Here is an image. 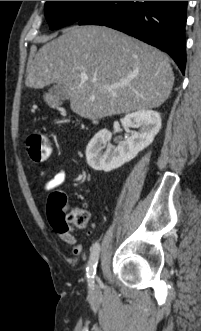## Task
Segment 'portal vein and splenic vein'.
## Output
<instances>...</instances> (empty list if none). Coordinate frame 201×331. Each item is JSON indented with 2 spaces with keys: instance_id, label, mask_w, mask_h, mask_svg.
I'll list each match as a JSON object with an SVG mask.
<instances>
[{
  "instance_id": "portal-vein-and-splenic-vein-1",
  "label": "portal vein and splenic vein",
  "mask_w": 201,
  "mask_h": 331,
  "mask_svg": "<svg viewBox=\"0 0 201 331\" xmlns=\"http://www.w3.org/2000/svg\"><path fill=\"white\" fill-rule=\"evenodd\" d=\"M80 78H81V81H83V82L88 80V76L86 74H81ZM93 82L95 83L96 81L94 80ZM127 84H128L127 81H122L120 83H115V84H112V85H104L103 87L105 89L112 90V89H116V88H119V87L126 86Z\"/></svg>"
}]
</instances>
